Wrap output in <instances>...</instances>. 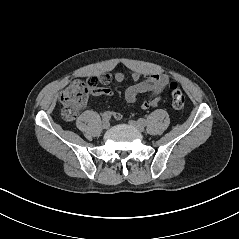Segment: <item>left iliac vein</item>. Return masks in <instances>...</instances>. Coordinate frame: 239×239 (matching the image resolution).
Listing matches in <instances>:
<instances>
[{"label":"left iliac vein","mask_w":239,"mask_h":239,"mask_svg":"<svg viewBox=\"0 0 239 239\" xmlns=\"http://www.w3.org/2000/svg\"><path fill=\"white\" fill-rule=\"evenodd\" d=\"M129 124L136 128L138 131L143 132L144 131V125H142L141 123L134 121V120H129Z\"/></svg>","instance_id":"4c4485c4"}]
</instances>
